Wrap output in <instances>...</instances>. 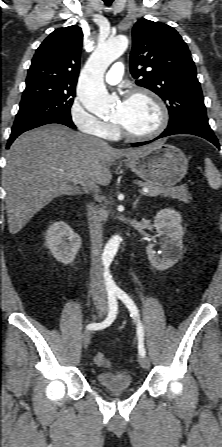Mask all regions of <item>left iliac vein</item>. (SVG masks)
<instances>
[{
  "label": "left iliac vein",
  "mask_w": 222,
  "mask_h": 447,
  "mask_svg": "<svg viewBox=\"0 0 222 447\" xmlns=\"http://www.w3.org/2000/svg\"><path fill=\"white\" fill-rule=\"evenodd\" d=\"M138 362L140 366L144 369H148L150 367V361L146 356H139Z\"/></svg>",
  "instance_id": "4c4485c4"
}]
</instances>
